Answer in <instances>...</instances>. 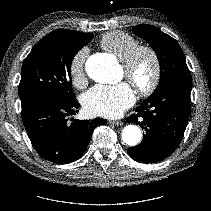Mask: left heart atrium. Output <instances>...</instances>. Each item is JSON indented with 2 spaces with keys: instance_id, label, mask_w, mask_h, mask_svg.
Here are the masks:
<instances>
[{
  "instance_id": "1",
  "label": "left heart atrium",
  "mask_w": 211,
  "mask_h": 211,
  "mask_svg": "<svg viewBox=\"0 0 211 211\" xmlns=\"http://www.w3.org/2000/svg\"><path fill=\"white\" fill-rule=\"evenodd\" d=\"M134 102V91L126 82L116 85H96L88 90L82 98L86 114L106 118L119 116Z\"/></svg>"
}]
</instances>
